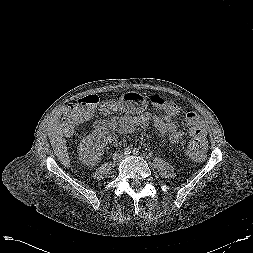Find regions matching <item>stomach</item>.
<instances>
[{"instance_id":"0dacf381","label":"stomach","mask_w":253,"mask_h":253,"mask_svg":"<svg viewBox=\"0 0 253 253\" xmlns=\"http://www.w3.org/2000/svg\"><path fill=\"white\" fill-rule=\"evenodd\" d=\"M147 107L148 101L146 97L142 93L135 91L124 93L117 102H105L102 105L105 112L118 109L127 114H141L146 111Z\"/></svg>"}]
</instances>
